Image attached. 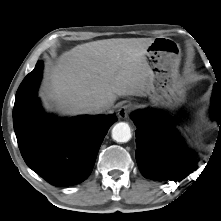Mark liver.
Returning <instances> with one entry per match:
<instances>
[{
    "label": "liver",
    "instance_id": "6515ba94",
    "mask_svg": "<svg viewBox=\"0 0 221 221\" xmlns=\"http://www.w3.org/2000/svg\"><path fill=\"white\" fill-rule=\"evenodd\" d=\"M152 38H117L77 45L47 70L42 95L67 115L118 96H145L151 69L146 61Z\"/></svg>",
    "mask_w": 221,
    "mask_h": 221
}]
</instances>
